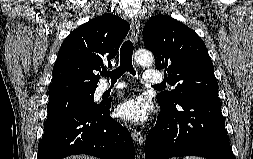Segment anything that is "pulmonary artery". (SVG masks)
Returning <instances> with one entry per match:
<instances>
[{
	"instance_id": "pulmonary-artery-1",
	"label": "pulmonary artery",
	"mask_w": 253,
	"mask_h": 159,
	"mask_svg": "<svg viewBox=\"0 0 253 159\" xmlns=\"http://www.w3.org/2000/svg\"><path fill=\"white\" fill-rule=\"evenodd\" d=\"M165 75L163 72L160 71H153V70H146L143 74V81L148 86H156L161 85V83L164 81ZM125 87L122 84H117L114 87H111L109 84H101L99 87L100 93H104L107 91L112 90H119ZM171 88H173L171 86Z\"/></svg>"
}]
</instances>
